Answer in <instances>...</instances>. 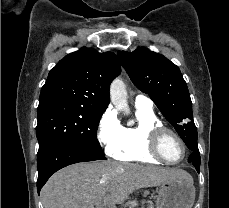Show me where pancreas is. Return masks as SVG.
Listing matches in <instances>:
<instances>
[{
  "mask_svg": "<svg viewBox=\"0 0 229 208\" xmlns=\"http://www.w3.org/2000/svg\"><path fill=\"white\" fill-rule=\"evenodd\" d=\"M143 204H146V206H142V208H154L153 202H150V200H147V202H143Z\"/></svg>",
  "mask_w": 229,
  "mask_h": 208,
  "instance_id": "pancreas-1",
  "label": "pancreas"
}]
</instances>
